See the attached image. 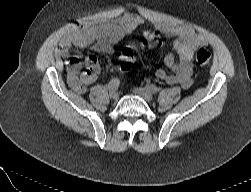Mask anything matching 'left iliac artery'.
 Instances as JSON below:
<instances>
[{"label":"left iliac artery","mask_w":251,"mask_h":192,"mask_svg":"<svg viewBox=\"0 0 251 192\" xmlns=\"http://www.w3.org/2000/svg\"><path fill=\"white\" fill-rule=\"evenodd\" d=\"M146 89L149 90L150 92L154 93V94L159 92V88L154 84L146 85Z\"/></svg>","instance_id":"44dca946"}]
</instances>
